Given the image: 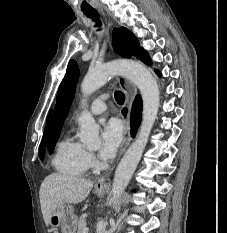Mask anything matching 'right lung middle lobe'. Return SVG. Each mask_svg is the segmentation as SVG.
<instances>
[{"instance_id":"dd1d6c3e","label":"right lung middle lobe","mask_w":227,"mask_h":233,"mask_svg":"<svg viewBox=\"0 0 227 233\" xmlns=\"http://www.w3.org/2000/svg\"><path fill=\"white\" fill-rule=\"evenodd\" d=\"M45 154V149L40 147V158L43 160Z\"/></svg>"}]
</instances>
